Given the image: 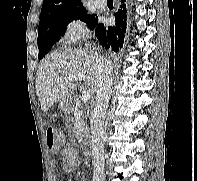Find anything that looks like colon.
<instances>
[{"label": "colon", "instance_id": "obj_1", "mask_svg": "<svg viewBox=\"0 0 197 181\" xmlns=\"http://www.w3.org/2000/svg\"><path fill=\"white\" fill-rule=\"evenodd\" d=\"M46 142L51 151L57 152L63 142V139L58 132V130L53 127L49 126L46 129Z\"/></svg>", "mask_w": 197, "mask_h": 181}]
</instances>
